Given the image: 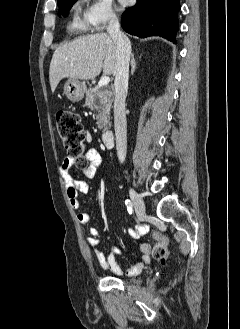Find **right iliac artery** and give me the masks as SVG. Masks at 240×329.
<instances>
[{
  "mask_svg": "<svg viewBox=\"0 0 240 329\" xmlns=\"http://www.w3.org/2000/svg\"><path fill=\"white\" fill-rule=\"evenodd\" d=\"M125 205H126V207H127L128 212H129V213H132V206H133V205H132V202H131L130 200L127 199V200L125 201Z\"/></svg>",
  "mask_w": 240,
  "mask_h": 329,
  "instance_id": "obj_1",
  "label": "right iliac artery"
}]
</instances>
